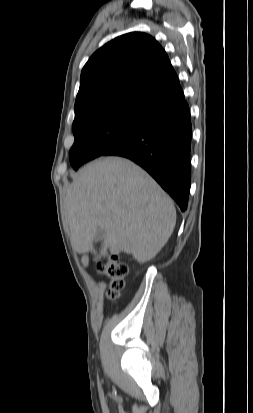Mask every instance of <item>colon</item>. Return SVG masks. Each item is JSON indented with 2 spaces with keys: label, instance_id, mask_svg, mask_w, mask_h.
Returning <instances> with one entry per match:
<instances>
[{
  "label": "colon",
  "instance_id": "obj_1",
  "mask_svg": "<svg viewBox=\"0 0 253 413\" xmlns=\"http://www.w3.org/2000/svg\"><path fill=\"white\" fill-rule=\"evenodd\" d=\"M98 270L109 280L108 297L116 299L124 287V278L128 273V266L118 260L116 255L109 256L105 263L98 265Z\"/></svg>",
  "mask_w": 253,
  "mask_h": 413
}]
</instances>
